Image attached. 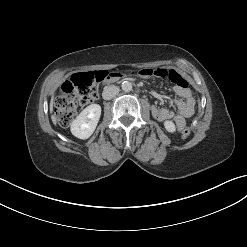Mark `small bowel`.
<instances>
[{"label":"small bowel","instance_id":"c3829d8e","mask_svg":"<svg viewBox=\"0 0 247 247\" xmlns=\"http://www.w3.org/2000/svg\"><path fill=\"white\" fill-rule=\"evenodd\" d=\"M138 75L142 78H165L174 84V91L182 100L174 101L175 109L153 106L152 114L154 118L159 121H167L173 118L176 127L181 129L186 124L187 119L190 118L195 111L194 95L192 90L188 87L187 81L178 72L168 68H144L138 71ZM120 76L118 73H113L111 78L115 79Z\"/></svg>","mask_w":247,"mask_h":247}]
</instances>
